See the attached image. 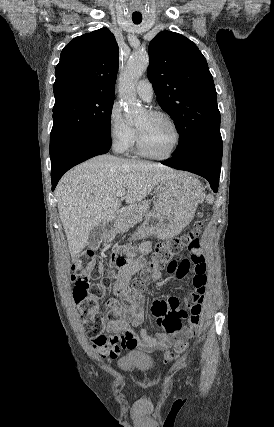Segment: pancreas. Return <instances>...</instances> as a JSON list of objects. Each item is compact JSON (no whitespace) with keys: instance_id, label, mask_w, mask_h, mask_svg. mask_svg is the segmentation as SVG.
I'll use <instances>...</instances> for the list:
<instances>
[{"instance_id":"cf45deb5","label":"pancreas","mask_w":274,"mask_h":427,"mask_svg":"<svg viewBox=\"0 0 274 427\" xmlns=\"http://www.w3.org/2000/svg\"><path fill=\"white\" fill-rule=\"evenodd\" d=\"M148 208V202H137V204H132V206L121 210L120 215L116 219L115 233L128 231L129 227H132L137 221H141L144 215H147Z\"/></svg>"}]
</instances>
